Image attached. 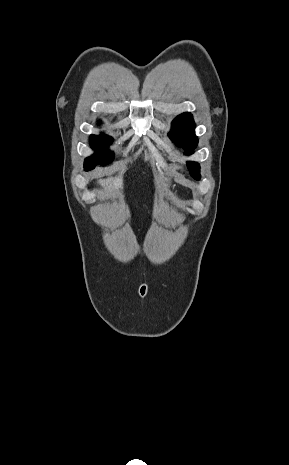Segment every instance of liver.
<instances>
[{"instance_id":"6515ba94","label":"liver","mask_w":289,"mask_h":465,"mask_svg":"<svg viewBox=\"0 0 289 465\" xmlns=\"http://www.w3.org/2000/svg\"><path fill=\"white\" fill-rule=\"evenodd\" d=\"M99 183L103 186H107V189L112 192V190H117L122 187V178H107V179H100Z\"/></svg>"}]
</instances>
